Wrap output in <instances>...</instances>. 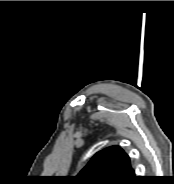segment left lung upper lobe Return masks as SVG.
Segmentation results:
<instances>
[{
  "label": "left lung upper lobe",
  "mask_w": 174,
  "mask_h": 184,
  "mask_svg": "<svg viewBox=\"0 0 174 184\" xmlns=\"http://www.w3.org/2000/svg\"><path fill=\"white\" fill-rule=\"evenodd\" d=\"M128 155L111 146L94 155L77 175L79 184H129L134 179Z\"/></svg>",
  "instance_id": "obj_1"
}]
</instances>
